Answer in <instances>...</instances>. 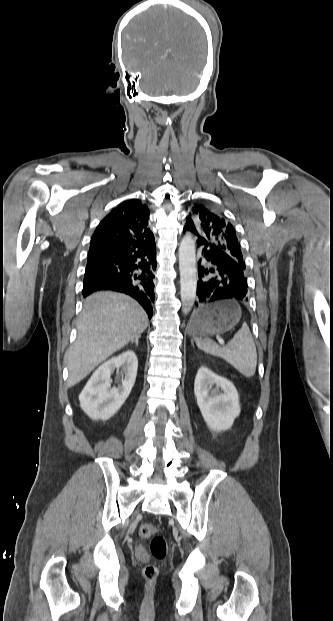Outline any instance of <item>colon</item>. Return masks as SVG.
<instances>
[{"instance_id": "5ec220e1", "label": "colon", "mask_w": 333, "mask_h": 621, "mask_svg": "<svg viewBox=\"0 0 333 621\" xmlns=\"http://www.w3.org/2000/svg\"><path fill=\"white\" fill-rule=\"evenodd\" d=\"M139 536L143 539H150V551L154 558L161 560L166 556V541L157 534V528L154 525L142 524L139 527ZM142 573L145 580L152 582L158 576V568L155 565L148 564L143 568Z\"/></svg>"}]
</instances>
